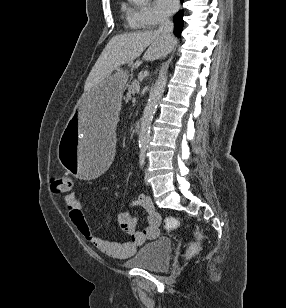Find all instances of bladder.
<instances>
[{
    "instance_id": "31cf9c89",
    "label": "bladder",
    "mask_w": 286,
    "mask_h": 308,
    "mask_svg": "<svg viewBox=\"0 0 286 308\" xmlns=\"http://www.w3.org/2000/svg\"><path fill=\"white\" fill-rule=\"evenodd\" d=\"M172 242L167 238H159L143 245L133 255L123 261L132 268H143L151 271L165 270L170 265Z\"/></svg>"
}]
</instances>
